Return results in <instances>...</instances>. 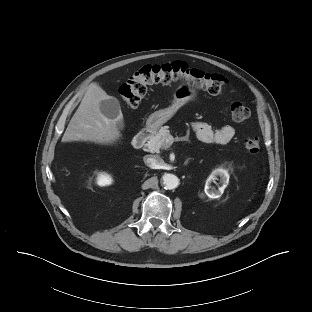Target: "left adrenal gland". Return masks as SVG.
Wrapping results in <instances>:
<instances>
[{
    "mask_svg": "<svg viewBox=\"0 0 312 312\" xmlns=\"http://www.w3.org/2000/svg\"><path fill=\"white\" fill-rule=\"evenodd\" d=\"M187 163H188V160L185 162V165H187Z\"/></svg>",
    "mask_w": 312,
    "mask_h": 312,
    "instance_id": "1",
    "label": "left adrenal gland"
}]
</instances>
